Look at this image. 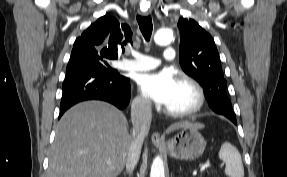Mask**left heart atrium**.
I'll return each instance as SVG.
<instances>
[{
  "label": "left heart atrium",
  "mask_w": 287,
  "mask_h": 177,
  "mask_svg": "<svg viewBox=\"0 0 287 177\" xmlns=\"http://www.w3.org/2000/svg\"><path fill=\"white\" fill-rule=\"evenodd\" d=\"M178 80L170 70L147 73L138 79L141 93L153 102L165 106L172 96Z\"/></svg>",
  "instance_id": "1"
}]
</instances>
